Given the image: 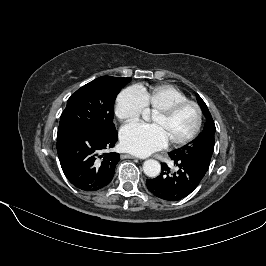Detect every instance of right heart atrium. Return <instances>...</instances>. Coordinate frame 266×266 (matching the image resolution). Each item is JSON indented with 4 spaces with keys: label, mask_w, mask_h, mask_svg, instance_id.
I'll list each match as a JSON object with an SVG mask.
<instances>
[{
    "label": "right heart atrium",
    "mask_w": 266,
    "mask_h": 266,
    "mask_svg": "<svg viewBox=\"0 0 266 266\" xmlns=\"http://www.w3.org/2000/svg\"><path fill=\"white\" fill-rule=\"evenodd\" d=\"M145 108L144 97L136 86L123 89L117 96L115 113L121 121L138 120Z\"/></svg>",
    "instance_id": "d8ad5b80"
}]
</instances>
